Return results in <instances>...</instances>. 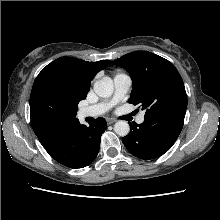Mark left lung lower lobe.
I'll return each instance as SVG.
<instances>
[{"mask_svg":"<svg viewBox=\"0 0 220 220\" xmlns=\"http://www.w3.org/2000/svg\"><path fill=\"white\" fill-rule=\"evenodd\" d=\"M185 111H168L144 116L141 124H130V133L122 138L127 150L141 159H154L166 153L177 140Z\"/></svg>","mask_w":220,"mask_h":220,"instance_id":"0a47b994","label":"left lung lower lobe"}]
</instances>
